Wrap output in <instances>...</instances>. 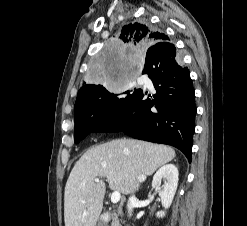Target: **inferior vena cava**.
Instances as JSON below:
<instances>
[{"label": "inferior vena cava", "mask_w": 247, "mask_h": 226, "mask_svg": "<svg viewBox=\"0 0 247 226\" xmlns=\"http://www.w3.org/2000/svg\"><path fill=\"white\" fill-rule=\"evenodd\" d=\"M137 203H138V199L134 195L129 198L128 203H127V209L130 215H131L133 208L136 207Z\"/></svg>", "instance_id": "inferior-vena-cava-1"}]
</instances>
